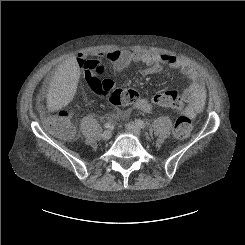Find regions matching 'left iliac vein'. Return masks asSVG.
<instances>
[{"label": "left iliac vein", "mask_w": 245, "mask_h": 245, "mask_svg": "<svg viewBox=\"0 0 245 245\" xmlns=\"http://www.w3.org/2000/svg\"><path fill=\"white\" fill-rule=\"evenodd\" d=\"M125 128H126V130H127L129 133H131V134H133V135H135V136H137V137H139V136L141 135V130H140L139 127L136 126L134 123H127V124L125 125Z\"/></svg>", "instance_id": "left-iliac-vein-1"}]
</instances>
